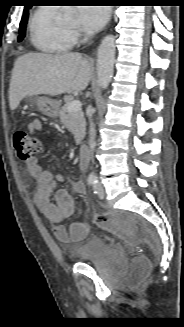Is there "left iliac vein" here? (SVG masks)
I'll use <instances>...</instances> for the list:
<instances>
[{
  "label": "left iliac vein",
  "mask_w": 184,
  "mask_h": 327,
  "mask_svg": "<svg viewBox=\"0 0 184 327\" xmlns=\"http://www.w3.org/2000/svg\"><path fill=\"white\" fill-rule=\"evenodd\" d=\"M97 191H98V196L102 199L105 196V192L104 189L102 187V185L98 184L97 185Z\"/></svg>",
  "instance_id": "4c4485c4"
}]
</instances>
